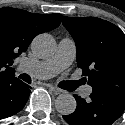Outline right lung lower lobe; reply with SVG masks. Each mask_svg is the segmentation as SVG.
Wrapping results in <instances>:
<instances>
[{"mask_svg": "<svg viewBox=\"0 0 125 125\" xmlns=\"http://www.w3.org/2000/svg\"><path fill=\"white\" fill-rule=\"evenodd\" d=\"M30 92V86L15 76L1 79L0 119L10 117L21 111L29 98Z\"/></svg>", "mask_w": 125, "mask_h": 125, "instance_id": "right-lung-lower-lobe-1", "label": "right lung lower lobe"}]
</instances>
